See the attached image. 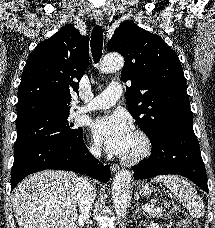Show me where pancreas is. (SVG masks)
<instances>
[{
  "instance_id": "1",
  "label": "pancreas",
  "mask_w": 215,
  "mask_h": 228,
  "mask_svg": "<svg viewBox=\"0 0 215 228\" xmlns=\"http://www.w3.org/2000/svg\"><path fill=\"white\" fill-rule=\"evenodd\" d=\"M147 214H149L151 218H162L163 210L162 208H150V210H147Z\"/></svg>"
}]
</instances>
